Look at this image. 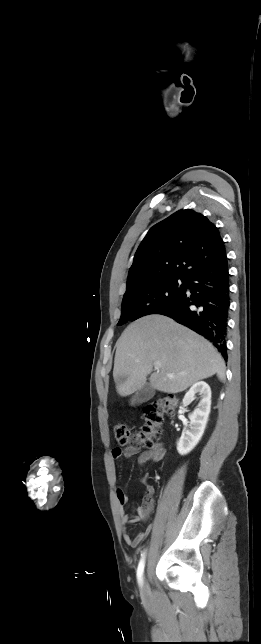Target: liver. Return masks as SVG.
<instances>
[{
  "mask_svg": "<svg viewBox=\"0 0 261 644\" xmlns=\"http://www.w3.org/2000/svg\"><path fill=\"white\" fill-rule=\"evenodd\" d=\"M155 362L161 367L153 372ZM225 371L222 356L210 342L166 316L136 320L116 343L113 377L123 397L140 390L149 374L152 388L175 394L214 374L223 381Z\"/></svg>",
  "mask_w": 261,
  "mask_h": 644,
  "instance_id": "6515ba94",
  "label": "liver"
}]
</instances>
